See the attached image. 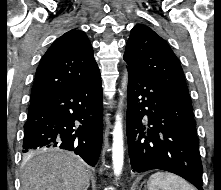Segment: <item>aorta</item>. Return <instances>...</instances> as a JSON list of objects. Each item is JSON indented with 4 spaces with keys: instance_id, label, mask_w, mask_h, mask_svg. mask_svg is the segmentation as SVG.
Segmentation results:
<instances>
[{
    "instance_id": "1",
    "label": "aorta",
    "mask_w": 221,
    "mask_h": 190,
    "mask_svg": "<svg viewBox=\"0 0 221 190\" xmlns=\"http://www.w3.org/2000/svg\"><path fill=\"white\" fill-rule=\"evenodd\" d=\"M122 95V94H121ZM124 162V143H123V128L121 114L116 115L115 126L113 129V144H112V163L113 170L116 176L121 174Z\"/></svg>"
}]
</instances>
